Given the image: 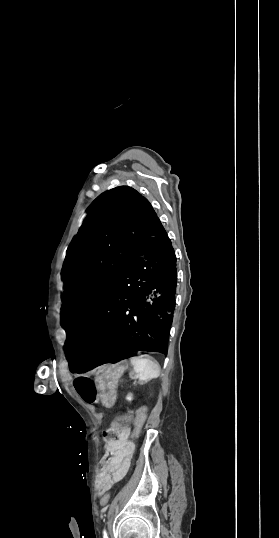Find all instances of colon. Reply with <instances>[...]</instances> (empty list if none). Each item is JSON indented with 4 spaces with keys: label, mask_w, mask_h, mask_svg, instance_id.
Returning a JSON list of instances; mask_svg holds the SVG:
<instances>
[{
    "label": "colon",
    "mask_w": 279,
    "mask_h": 538,
    "mask_svg": "<svg viewBox=\"0 0 279 538\" xmlns=\"http://www.w3.org/2000/svg\"><path fill=\"white\" fill-rule=\"evenodd\" d=\"M131 420L129 414L123 415L112 422L109 428L103 433V439L106 442L105 451L102 457L99 459L96 468V482L103 480L108 474V467L111 458L110 446L114 444L120 437L121 429ZM142 419L138 418L135 423V434H137L142 427ZM110 495L105 493L102 495L100 503L102 506H106L109 503Z\"/></svg>",
    "instance_id": "colon-1"
}]
</instances>
